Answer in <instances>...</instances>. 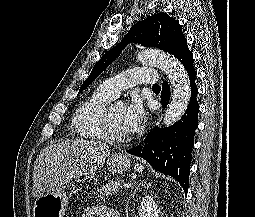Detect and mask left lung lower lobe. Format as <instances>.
<instances>
[{"instance_id": "obj_1", "label": "left lung lower lobe", "mask_w": 255, "mask_h": 217, "mask_svg": "<svg viewBox=\"0 0 255 217\" xmlns=\"http://www.w3.org/2000/svg\"><path fill=\"white\" fill-rule=\"evenodd\" d=\"M185 67L191 86V99L181 120L168 128L156 126L146 137L144 144L127 152L142 157L157 171L175 178L188 191L191 151L194 133L198 125L199 105L196 100L198 89L195 85L196 71L193 67V55L188 46L174 54ZM170 99V87L166 81L162 84L161 100L164 107Z\"/></svg>"}]
</instances>
